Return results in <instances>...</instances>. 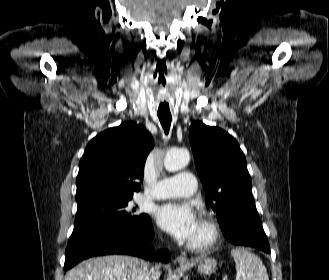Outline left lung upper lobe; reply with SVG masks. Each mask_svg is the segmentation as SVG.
I'll use <instances>...</instances> for the list:
<instances>
[{
    "label": "left lung upper lobe",
    "instance_id": "obj_1",
    "mask_svg": "<svg viewBox=\"0 0 329 280\" xmlns=\"http://www.w3.org/2000/svg\"><path fill=\"white\" fill-rule=\"evenodd\" d=\"M189 140L206 202L221 226H228L253 202L245 156L226 131L201 121L191 124Z\"/></svg>",
    "mask_w": 329,
    "mask_h": 280
}]
</instances>
